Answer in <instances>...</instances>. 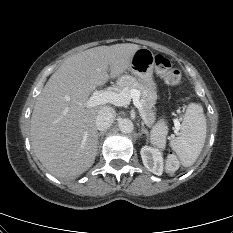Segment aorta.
I'll return each instance as SVG.
<instances>
[{"label":"aorta","instance_id":"1","mask_svg":"<svg viewBox=\"0 0 233 233\" xmlns=\"http://www.w3.org/2000/svg\"><path fill=\"white\" fill-rule=\"evenodd\" d=\"M119 129L122 133H131L134 130V125L130 119H122L119 122Z\"/></svg>","mask_w":233,"mask_h":233}]
</instances>
